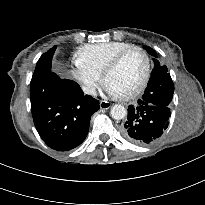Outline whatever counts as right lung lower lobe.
Instances as JSON below:
<instances>
[{"label":"right lung lower lobe","instance_id":"98d812e1","mask_svg":"<svg viewBox=\"0 0 205 205\" xmlns=\"http://www.w3.org/2000/svg\"><path fill=\"white\" fill-rule=\"evenodd\" d=\"M55 49L44 53L36 65L30 82L31 110L43 141L54 150L67 151L84 141L90 117L100 106L98 100L84 95L76 82L51 71Z\"/></svg>","mask_w":205,"mask_h":205}]
</instances>
